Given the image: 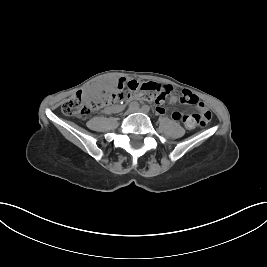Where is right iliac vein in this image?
Returning a JSON list of instances; mask_svg holds the SVG:
<instances>
[{
	"label": "right iliac vein",
	"instance_id": "1",
	"mask_svg": "<svg viewBox=\"0 0 267 267\" xmlns=\"http://www.w3.org/2000/svg\"><path fill=\"white\" fill-rule=\"evenodd\" d=\"M129 113H130V111L125 112V115H128Z\"/></svg>",
	"mask_w": 267,
	"mask_h": 267
}]
</instances>
